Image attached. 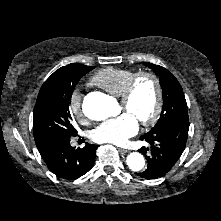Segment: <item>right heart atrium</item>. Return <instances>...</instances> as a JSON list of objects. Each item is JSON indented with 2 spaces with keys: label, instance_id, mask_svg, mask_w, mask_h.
Listing matches in <instances>:
<instances>
[{
  "label": "right heart atrium",
  "instance_id": "right-heart-atrium-1",
  "mask_svg": "<svg viewBox=\"0 0 221 221\" xmlns=\"http://www.w3.org/2000/svg\"><path fill=\"white\" fill-rule=\"evenodd\" d=\"M69 109L78 121L84 122L86 120V114L82 109V95L79 89H74L71 92L69 97Z\"/></svg>",
  "mask_w": 221,
  "mask_h": 221
}]
</instances>
